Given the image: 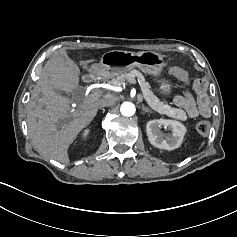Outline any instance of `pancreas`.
<instances>
[{"instance_id":"obj_1","label":"pancreas","mask_w":237,"mask_h":237,"mask_svg":"<svg viewBox=\"0 0 237 237\" xmlns=\"http://www.w3.org/2000/svg\"><path fill=\"white\" fill-rule=\"evenodd\" d=\"M129 78L135 79L136 83L140 85V89L143 93L145 101L149 106L157 112L165 114L173 119L185 121L187 116L183 110L170 108L168 105H165L160 99L154 95L151 90L150 84L145 80L144 76L137 70H132L129 73H124L118 75L116 78H113L108 84L112 86H118Z\"/></svg>"}]
</instances>
